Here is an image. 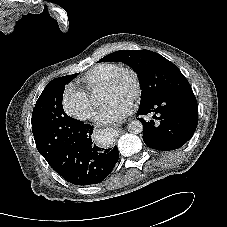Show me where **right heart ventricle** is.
Masks as SVG:
<instances>
[{
	"label": "right heart ventricle",
	"mask_w": 227,
	"mask_h": 227,
	"mask_svg": "<svg viewBox=\"0 0 227 227\" xmlns=\"http://www.w3.org/2000/svg\"><path fill=\"white\" fill-rule=\"evenodd\" d=\"M121 65L116 62H100L90 67L78 80V83L87 91H95L103 86L108 78Z\"/></svg>",
	"instance_id": "e07e8e85"
}]
</instances>
